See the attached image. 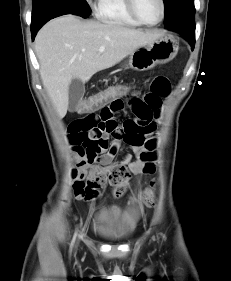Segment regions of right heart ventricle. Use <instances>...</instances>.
<instances>
[{
  "mask_svg": "<svg viewBox=\"0 0 231 281\" xmlns=\"http://www.w3.org/2000/svg\"><path fill=\"white\" fill-rule=\"evenodd\" d=\"M96 15L107 24L129 27L141 25L129 13L125 0H98Z\"/></svg>",
  "mask_w": 231,
  "mask_h": 281,
  "instance_id": "obj_1",
  "label": "right heart ventricle"
}]
</instances>
